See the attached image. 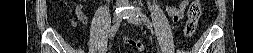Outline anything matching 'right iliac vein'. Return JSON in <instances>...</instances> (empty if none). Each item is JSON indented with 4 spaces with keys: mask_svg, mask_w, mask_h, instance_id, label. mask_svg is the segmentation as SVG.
<instances>
[{
    "mask_svg": "<svg viewBox=\"0 0 253 53\" xmlns=\"http://www.w3.org/2000/svg\"><path fill=\"white\" fill-rule=\"evenodd\" d=\"M120 23V17H116V19L114 20V26H117V24Z\"/></svg>",
    "mask_w": 253,
    "mask_h": 53,
    "instance_id": "right-iliac-vein-1",
    "label": "right iliac vein"
}]
</instances>
